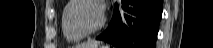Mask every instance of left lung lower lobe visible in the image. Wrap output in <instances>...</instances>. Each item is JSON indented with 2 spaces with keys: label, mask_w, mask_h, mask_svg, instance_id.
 <instances>
[{
  "label": "left lung lower lobe",
  "mask_w": 213,
  "mask_h": 48,
  "mask_svg": "<svg viewBox=\"0 0 213 48\" xmlns=\"http://www.w3.org/2000/svg\"><path fill=\"white\" fill-rule=\"evenodd\" d=\"M97 39L117 48H155L163 0H121Z\"/></svg>",
  "instance_id": "left-lung-lower-lobe-1"
}]
</instances>
